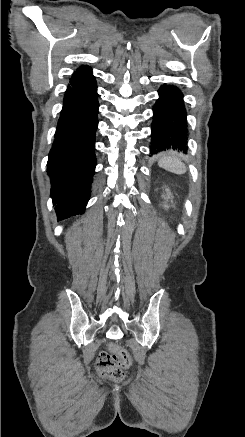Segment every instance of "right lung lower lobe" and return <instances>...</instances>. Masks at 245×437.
Masks as SVG:
<instances>
[{"label":"right lung lower lobe","instance_id":"98d812e1","mask_svg":"<svg viewBox=\"0 0 245 437\" xmlns=\"http://www.w3.org/2000/svg\"><path fill=\"white\" fill-rule=\"evenodd\" d=\"M96 83L67 90L49 153L47 173L58 220L81 214L90 197L98 126Z\"/></svg>","mask_w":245,"mask_h":437}]
</instances>
